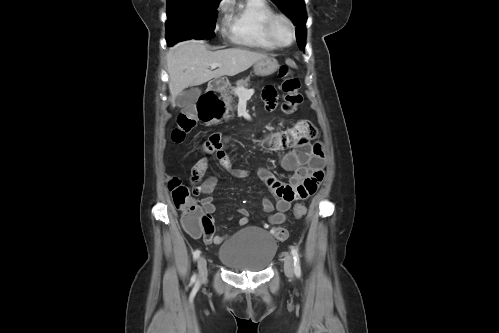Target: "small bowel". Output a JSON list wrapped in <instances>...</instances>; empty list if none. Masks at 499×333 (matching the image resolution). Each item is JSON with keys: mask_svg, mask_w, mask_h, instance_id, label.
<instances>
[{"mask_svg": "<svg viewBox=\"0 0 499 333\" xmlns=\"http://www.w3.org/2000/svg\"><path fill=\"white\" fill-rule=\"evenodd\" d=\"M262 97L268 110L276 106L277 94L273 86L263 89ZM317 136V129L309 120H298L285 132L272 134L268 144L273 150H286L282 159V166L291 172L288 183L277 179L265 168L258 169L257 173L267 188L275 196V202L268 198L262 201L263 209L269 214L268 222L279 225L285 222L286 213L291 209L292 203L312 196L324 178L325 153L321 142L313 141ZM205 156L214 155L219 164L238 178H246V170L233 171L231 160L226 151L225 141L221 133L212 134L201 146ZM207 158L200 159L191 170L190 182L195 196L203 195L201 206L209 216L216 207L212 193L217 185L218 178L210 176L203 180L207 170ZM240 218L238 224L245 226L249 221V211L245 208L238 210ZM198 236V235H196ZM228 236L213 235L208 244H220Z\"/></svg>", "mask_w": 499, "mask_h": 333, "instance_id": "1", "label": "small bowel"}]
</instances>
